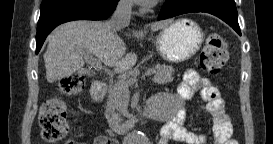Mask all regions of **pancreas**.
<instances>
[{"label":"pancreas","instance_id":"cf45deb5","mask_svg":"<svg viewBox=\"0 0 273 144\" xmlns=\"http://www.w3.org/2000/svg\"><path fill=\"white\" fill-rule=\"evenodd\" d=\"M154 69L156 71V74L152 80L155 83L166 84L173 81V73L175 72V70L172 66L157 64L155 65ZM133 82L134 78L126 81L120 80L109 89L105 117L110 128L112 129L119 128L123 121L121 114L116 111H120L124 99L129 95L128 87L132 85Z\"/></svg>","mask_w":273,"mask_h":144}]
</instances>
